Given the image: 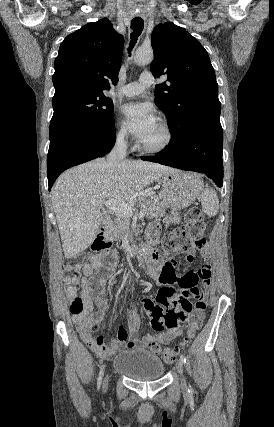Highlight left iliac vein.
I'll list each match as a JSON object with an SVG mask.
<instances>
[{
  "label": "left iliac vein",
  "mask_w": 274,
  "mask_h": 427,
  "mask_svg": "<svg viewBox=\"0 0 274 427\" xmlns=\"http://www.w3.org/2000/svg\"><path fill=\"white\" fill-rule=\"evenodd\" d=\"M176 371L179 373V375L181 376V381H182V388L185 389L186 388V380L183 377V363L180 359H178L176 361Z\"/></svg>",
  "instance_id": "4c4485c4"
}]
</instances>
